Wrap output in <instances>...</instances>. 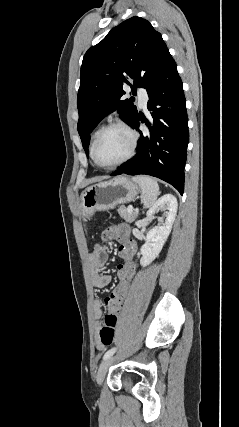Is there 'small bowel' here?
Here are the masks:
<instances>
[{"mask_svg":"<svg viewBox=\"0 0 239 427\" xmlns=\"http://www.w3.org/2000/svg\"><path fill=\"white\" fill-rule=\"evenodd\" d=\"M108 255L109 250L105 247H100L95 249L88 256V264L91 272L92 284L97 289L105 288L111 282V276L102 273L101 271L108 261ZM103 305L105 304L100 299H95L93 302V313L96 320H100L102 317ZM105 306L107 307L108 305ZM98 348L102 349L103 345L98 344Z\"/></svg>","mask_w":239,"mask_h":427,"instance_id":"1","label":"small bowel"}]
</instances>
